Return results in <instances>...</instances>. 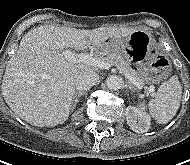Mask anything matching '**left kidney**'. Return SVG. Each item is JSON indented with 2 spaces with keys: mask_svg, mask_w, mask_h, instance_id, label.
Wrapping results in <instances>:
<instances>
[{
  "mask_svg": "<svg viewBox=\"0 0 190 165\" xmlns=\"http://www.w3.org/2000/svg\"><path fill=\"white\" fill-rule=\"evenodd\" d=\"M125 116L129 127L137 133H145L150 128V116L136 107L126 108Z\"/></svg>",
  "mask_w": 190,
  "mask_h": 165,
  "instance_id": "5707ae66",
  "label": "left kidney"
}]
</instances>
